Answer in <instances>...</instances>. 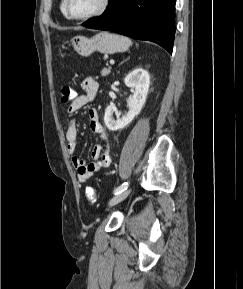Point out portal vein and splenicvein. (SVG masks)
<instances>
[{
    "label": "portal vein and splenic vein",
    "mask_w": 243,
    "mask_h": 289,
    "mask_svg": "<svg viewBox=\"0 0 243 289\" xmlns=\"http://www.w3.org/2000/svg\"><path fill=\"white\" fill-rule=\"evenodd\" d=\"M115 63L114 60H110V64L113 65Z\"/></svg>",
    "instance_id": "18ae733b"
}]
</instances>
